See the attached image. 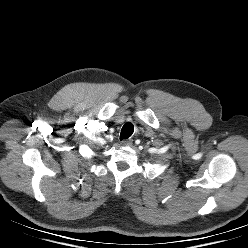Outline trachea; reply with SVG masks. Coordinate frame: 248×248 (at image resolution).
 Wrapping results in <instances>:
<instances>
[{"label": "trachea", "instance_id": "3493384b", "mask_svg": "<svg viewBox=\"0 0 248 248\" xmlns=\"http://www.w3.org/2000/svg\"><path fill=\"white\" fill-rule=\"evenodd\" d=\"M134 132V126L131 123H126L120 133V140L128 139Z\"/></svg>", "mask_w": 248, "mask_h": 248}]
</instances>
